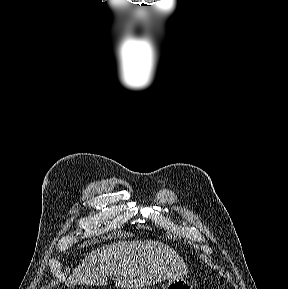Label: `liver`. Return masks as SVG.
Masks as SVG:
<instances>
[{
    "label": "liver",
    "instance_id": "obj_1",
    "mask_svg": "<svg viewBox=\"0 0 288 289\" xmlns=\"http://www.w3.org/2000/svg\"><path fill=\"white\" fill-rule=\"evenodd\" d=\"M112 274L117 288L145 289L157 282L183 278L188 268L178 253L162 242L118 241L85 256L65 284L103 286Z\"/></svg>",
    "mask_w": 288,
    "mask_h": 289
}]
</instances>
